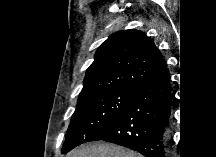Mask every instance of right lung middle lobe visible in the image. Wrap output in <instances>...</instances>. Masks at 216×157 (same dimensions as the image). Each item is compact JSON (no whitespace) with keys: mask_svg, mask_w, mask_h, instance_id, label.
<instances>
[{"mask_svg":"<svg viewBox=\"0 0 216 157\" xmlns=\"http://www.w3.org/2000/svg\"><path fill=\"white\" fill-rule=\"evenodd\" d=\"M132 88H115L78 99L69 125L62 153L92 141L106 130L123 112Z\"/></svg>","mask_w":216,"mask_h":157,"instance_id":"right-lung-middle-lobe-1","label":"right lung middle lobe"}]
</instances>
